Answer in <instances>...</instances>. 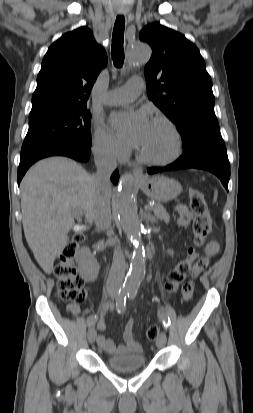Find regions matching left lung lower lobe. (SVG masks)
<instances>
[{
	"mask_svg": "<svg viewBox=\"0 0 253 413\" xmlns=\"http://www.w3.org/2000/svg\"><path fill=\"white\" fill-rule=\"evenodd\" d=\"M187 168H197L207 170L215 174L228 191V182L230 178V163L228 160L225 146H212L207 148L199 156L182 155L174 163L160 168L153 167L148 169L149 174H154L168 170H178Z\"/></svg>",
	"mask_w": 253,
	"mask_h": 413,
	"instance_id": "1",
	"label": "left lung lower lobe"
}]
</instances>
